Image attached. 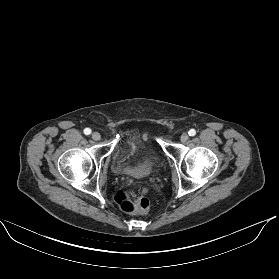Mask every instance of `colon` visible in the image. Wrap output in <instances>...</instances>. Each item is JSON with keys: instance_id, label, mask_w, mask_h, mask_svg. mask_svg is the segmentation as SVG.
Instances as JSON below:
<instances>
[{"instance_id": "5ec220e1", "label": "colon", "mask_w": 279, "mask_h": 279, "mask_svg": "<svg viewBox=\"0 0 279 279\" xmlns=\"http://www.w3.org/2000/svg\"><path fill=\"white\" fill-rule=\"evenodd\" d=\"M115 200L120 209L125 213H133L137 215L145 214L150 206L149 200L145 197L134 198L125 191H119Z\"/></svg>"}]
</instances>
